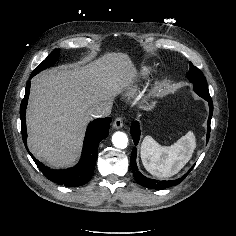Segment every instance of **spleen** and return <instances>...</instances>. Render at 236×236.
Segmentation results:
<instances>
[{
	"label": "spleen",
	"mask_w": 236,
	"mask_h": 236,
	"mask_svg": "<svg viewBox=\"0 0 236 236\" xmlns=\"http://www.w3.org/2000/svg\"><path fill=\"white\" fill-rule=\"evenodd\" d=\"M195 148L196 139L192 131L171 146H161L151 136H146L141 144V160L152 175L167 178L177 174L186 165Z\"/></svg>",
	"instance_id": "3e777b00"
}]
</instances>
